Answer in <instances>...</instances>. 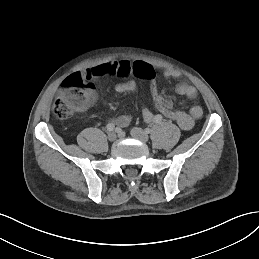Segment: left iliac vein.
Wrapping results in <instances>:
<instances>
[{"label":"left iliac vein","mask_w":259,"mask_h":259,"mask_svg":"<svg viewBox=\"0 0 259 259\" xmlns=\"http://www.w3.org/2000/svg\"><path fill=\"white\" fill-rule=\"evenodd\" d=\"M130 134L133 138L138 139L142 142H147L149 140L148 134L141 128L134 127L131 129Z\"/></svg>","instance_id":"left-iliac-vein-1"}]
</instances>
